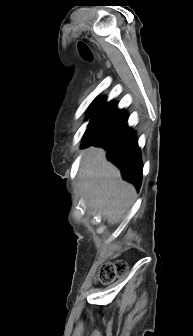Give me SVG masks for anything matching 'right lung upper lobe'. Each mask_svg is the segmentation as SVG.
<instances>
[{
	"mask_svg": "<svg viewBox=\"0 0 193 336\" xmlns=\"http://www.w3.org/2000/svg\"><path fill=\"white\" fill-rule=\"evenodd\" d=\"M104 102H105V99L96 98L91 103L90 111L88 113L89 116L93 115L91 121L99 118L101 116V114L104 113L105 111H107L109 109H115L116 108V105H114L113 103H108V104L104 105Z\"/></svg>",
	"mask_w": 193,
	"mask_h": 336,
	"instance_id": "obj_1",
	"label": "right lung upper lobe"
}]
</instances>
